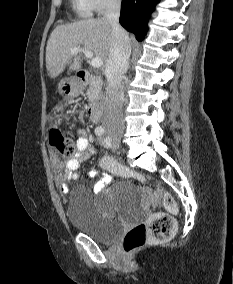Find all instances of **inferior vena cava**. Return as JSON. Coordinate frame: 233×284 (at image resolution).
Wrapping results in <instances>:
<instances>
[{"mask_svg": "<svg viewBox=\"0 0 233 284\" xmlns=\"http://www.w3.org/2000/svg\"><path fill=\"white\" fill-rule=\"evenodd\" d=\"M120 0H108L104 19L112 27V48L105 67L107 78L106 108L103 120L105 130L112 134L124 129L123 117V78L129 67L131 43L128 33L120 26Z\"/></svg>", "mask_w": 233, "mask_h": 284, "instance_id": "1", "label": "inferior vena cava"}]
</instances>
